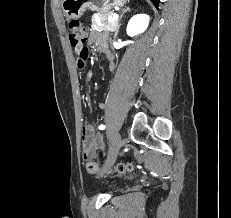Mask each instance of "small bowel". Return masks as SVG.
Here are the masks:
<instances>
[{
    "mask_svg": "<svg viewBox=\"0 0 231 218\" xmlns=\"http://www.w3.org/2000/svg\"><path fill=\"white\" fill-rule=\"evenodd\" d=\"M89 44H95L100 51L106 53L109 59H112V54L107 50L106 39L103 35L98 33H92L88 39ZM81 47H75V52L78 55ZM87 56H82V58H77V66L79 69H83L88 65ZM106 107L105 103H100L99 108L104 109ZM102 147V139L99 135L91 136V128L86 126L82 133V155L85 159L92 158L97 150Z\"/></svg>",
    "mask_w": 231,
    "mask_h": 218,
    "instance_id": "c3829d8e",
    "label": "small bowel"
}]
</instances>
